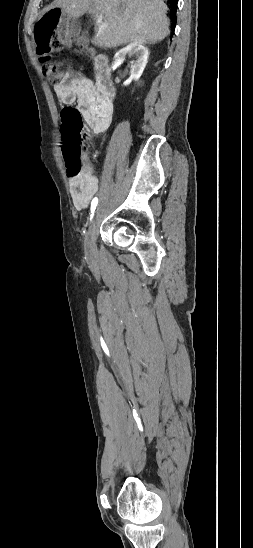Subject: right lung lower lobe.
I'll return each instance as SVG.
<instances>
[{
	"instance_id": "obj_1",
	"label": "right lung lower lobe",
	"mask_w": 253,
	"mask_h": 548,
	"mask_svg": "<svg viewBox=\"0 0 253 548\" xmlns=\"http://www.w3.org/2000/svg\"><path fill=\"white\" fill-rule=\"evenodd\" d=\"M168 2L170 3L171 8L173 9V14L171 19L173 21V30H174L176 25V9H177L178 0H168Z\"/></svg>"
}]
</instances>
